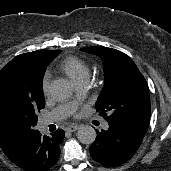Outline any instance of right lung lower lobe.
<instances>
[{
  "instance_id": "right-lung-lower-lobe-1",
  "label": "right lung lower lobe",
  "mask_w": 171,
  "mask_h": 171,
  "mask_svg": "<svg viewBox=\"0 0 171 171\" xmlns=\"http://www.w3.org/2000/svg\"><path fill=\"white\" fill-rule=\"evenodd\" d=\"M63 138L61 129L51 136H42L38 131L11 161L26 171H48L57 163Z\"/></svg>"
}]
</instances>
